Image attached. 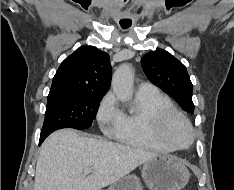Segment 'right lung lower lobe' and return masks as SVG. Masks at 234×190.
<instances>
[{
  "mask_svg": "<svg viewBox=\"0 0 234 190\" xmlns=\"http://www.w3.org/2000/svg\"><path fill=\"white\" fill-rule=\"evenodd\" d=\"M45 138L46 137L40 136V143H42Z\"/></svg>",
  "mask_w": 234,
  "mask_h": 190,
  "instance_id": "obj_1",
  "label": "right lung lower lobe"
}]
</instances>
